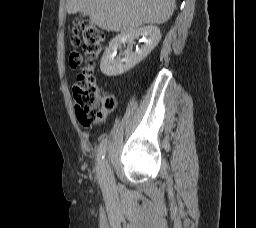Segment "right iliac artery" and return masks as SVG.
<instances>
[{"mask_svg": "<svg viewBox=\"0 0 256 228\" xmlns=\"http://www.w3.org/2000/svg\"><path fill=\"white\" fill-rule=\"evenodd\" d=\"M109 137H106V139H102L101 140V145L100 148L98 150V154H97V161H98V176L99 179L102 180L103 179V171H104V159H105V153H106V147L105 144L108 143Z\"/></svg>", "mask_w": 256, "mask_h": 228, "instance_id": "1", "label": "right iliac artery"}]
</instances>
